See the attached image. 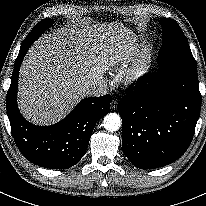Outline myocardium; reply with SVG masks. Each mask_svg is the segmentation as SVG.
<instances>
[{
    "instance_id": "myocardium-1",
    "label": "myocardium",
    "mask_w": 206,
    "mask_h": 206,
    "mask_svg": "<svg viewBox=\"0 0 206 206\" xmlns=\"http://www.w3.org/2000/svg\"><path fill=\"white\" fill-rule=\"evenodd\" d=\"M149 49L128 69L126 73L127 83L134 84L139 82L147 73L149 67Z\"/></svg>"
}]
</instances>
